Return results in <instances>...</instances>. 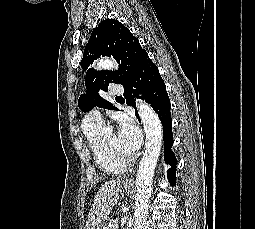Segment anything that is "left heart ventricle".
I'll list each match as a JSON object with an SVG mask.
<instances>
[{
    "label": "left heart ventricle",
    "mask_w": 255,
    "mask_h": 229,
    "mask_svg": "<svg viewBox=\"0 0 255 229\" xmlns=\"http://www.w3.org/2000/svg\"><path fill=\"white\" fill-rule=\"evenodd\" d=\"M107 146L114 152L118 153L119 155L125 157V158H128L130 157L129 154H127L120 146L119 144V141H118V138L116 135H112L108 138L105 139L104 141Z\"/></svg>",
    "instance_id": "1"
}]
</instances>
